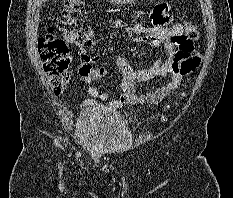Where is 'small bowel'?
Masks as SVG:
<instances>
[{"label":"small bowel","mask_w":233,"mask_h":198,"mask_svg":"<svg viewBox=\"0 0 233 198\" xmlns=\"http://www.w3.org/2000/svg\"><path fill=\"white\" fill-rule=\"evenodd\" d=\"M111 28L124 32L136 42L147 43L160 49L161 55L145 68H135L126 58L118 57L114 66L121 73L123 79L120 93L113 97L111 94L100 92L91 86L92 81L105 77L109 70L100 66L98 55H91L87 53L85 47H82L79 74L81 80L88 85V93L92 97L82 101L81 106L84 109L103 108L106 111H115L127 104H154L168 96L180 85L183 75L174 69L175 58L179 54L195 53L193 46L191 49L185 48L184 45L187 42L185 28L182 23H174V17L170 13L168 4L159 3L154 7L150 14V23L129 25L121 20H116L111 24ZM166 76L169 77V81L152 92L139 94L135 88L136 82L152 77ZM99 101L109 102L105 106H101Z\"/></svg>","instance_id":"c3829d8e"}]
</instances>
